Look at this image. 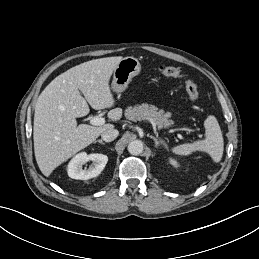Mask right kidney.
I'll return each mask as SVG.
<instances>
[{
  "label": "right kidney",
  "mask_w": 259,
  "mask_h": 259,
  "mask_svg": "<svg viewBox=\"0 0 259 259\" xmlns=\"http://www.w3.org/2000/svg\"><path fill=\"white\" fill-rule=\"evenodd\" d=\"M88 161H92V165L88 169H83V165ZM108 157L104 154L85 152L77 154L68 164V176L72 179L88 180L98 176L105 168Z\"/></svg>",
  "instance_id": "ca27d5eb"
}]
</instances>
